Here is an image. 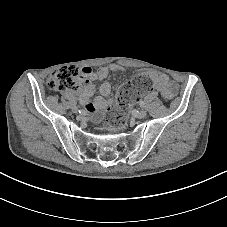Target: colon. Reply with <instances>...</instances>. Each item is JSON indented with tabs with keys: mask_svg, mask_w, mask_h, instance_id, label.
<instances>
[{
	"mask_svg": "<svg viewBox=\"0 0 227 227\" xmlns=\"http://www.w3.org/2000/svg\"><path fill=\"white\" fill-rule=\"evenodd\" d=\"M47 86L53 91L79 90L80 73L76 67L64 66L54 72L47 81ZM152 89V80L146 74L134 77L119 90L117 105L110 111V120L117 126L125 124L130 106L140 95Z\"/></svg>",
	"mask_w": 227,
	"mask_h": 227,
	"instance_id": "obj_1",
	"label": "colon"
}]
</instances>
